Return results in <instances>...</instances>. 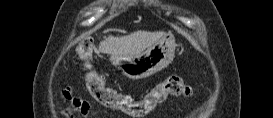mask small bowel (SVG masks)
Masks as SVG:
<instances>
[{"mask_svg": "<svg viewBox=\"0 0 273 118\" xmlns=\"http://www.w3.org/2000/svg\"><path fill=\"white\" fill-rule=\"evenodd\" d=\"M63 99L71 102L72 108L65 111L67 116H71L73 113L81 114L82 116H92L93 111L90 103L82 98L76 97L71 89L66 90L63 93Z\"/></svg>", "mask_w": 273, "mask_h": 118, "instance_id": "obj_1", "label": "small bowel"}]
</instances>
